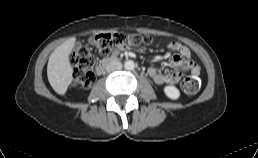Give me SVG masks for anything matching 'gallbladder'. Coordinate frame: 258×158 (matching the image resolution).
Wrapping results in <instances>:
<instances>
[{
    "instance_id": "1",
    "label": "gallbladder",
    "mask_w": 258,
    "mask_h": 158,
    "mask_svg": "<svg viewBox=\"0 0 258 158\" xmlns=\"http://www.w3.org/2000/svg\"><path fill=\"white\" fill-rule=\"evenodd\" d=\"M81 46H82L81 43H77L76 45L77 48H81Z\"/></svg>"
}]
</instances>
